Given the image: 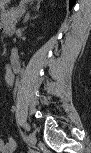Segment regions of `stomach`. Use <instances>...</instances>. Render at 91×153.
<instances>
[{"instance_id":"0dacf381","label":"stomach","mask_w":91,"mask_h":153,"mask_svg":"<svg viewBox=\"0 0 91 153\" xmlns=\"http://www.w3.org/2000/svg\"><path fill=\"white\" fill-rule=\"evenodd\" d=\"M6 0H0V6H1V8L6 4Z\"/></svg>"}]
</instances>
